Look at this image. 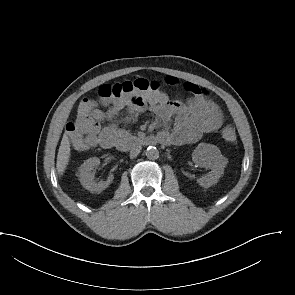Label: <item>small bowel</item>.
Here are the masks:
<instances>
[{
	"instance_id": "c3829d8e",
	"label": "small bowel",
	"mask_w": 295,
	"mask_h": 295,
	"mask_svg": "<svg viewBox=\"0 0 295 295\" xmlns=\"http://www.w3.org/2000/svg\"><path fill=\"white\" fill-rule=\"evenodd\" d=\"M166 83L179 85L175 77H167ZM184 88L191 94L186 100H171L166 93L155 90L115 99L107 110L96 106L88 118L69 122L67 134L78 151L94 146L113 147L119 138L126 135L123 129L114 124V120L126 109L129 117L144 111L153 113L162 126L158 135L166 137L168 144L195 143L204 134L218 130L222 126L223 115L204 90L191 83L184 84ZM104 121L110 123L102 127Z\"/></svg>"
}]
</instances>
